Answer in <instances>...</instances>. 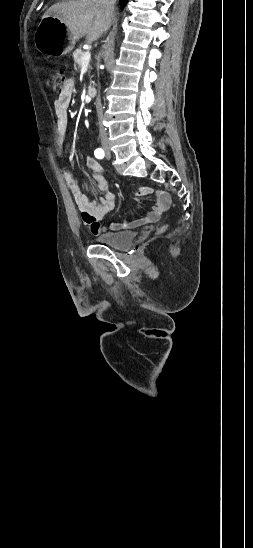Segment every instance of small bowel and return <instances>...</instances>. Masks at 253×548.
I'll list each match as a JSON object with an SVG mask.
<instances>
[{"instance_id": "obj_1", "label": "small bowel", "mask_w": 253, "mask_h": 548, "mask_svg": "<svg viewBox=\"0 0 253 548\" xmlns=\"http://www.w3.org/2000/svg\"><path fill=\"white\" fill-rule=\"evenodd\" d=\"M74 91V81L73 79H69L66 83L64 91L60 93L59 97L54 101L57 130L56 150L61 156L64 154L63 143L69 123L68 111ZM86 164L92 172V179L100 193V196L90 200L87 195L81 192L73 173L69 171L64 173V180L73 195L78 209L83 213V220L86 223L87 228L91 233L97 235L105 230L99 222L108 212L114 210L116 207V197L109 190L108 182L103 176L100 164L91 156H87ZM150 192L151 189L149 187H141L136 192V196L139 198H144L148 196ZM170 204V195L166 191H158L155 206L145 215L131 221L112 222L107 228L109 230H120L155 222L162 215V213L170 207Z\"/></svg>"}]
</instances>
